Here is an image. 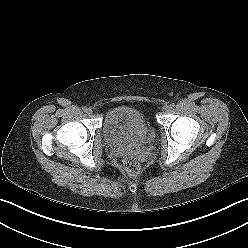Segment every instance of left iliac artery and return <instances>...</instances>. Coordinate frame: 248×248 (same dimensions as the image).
<instances>
[{"instance_id":"44dca946","label":"left iliac artery","mask_w":248,"mask_h":248,"mask_svg":"<svg viewBox=\"0 0 248 248\" xmlns=\"http://www.w3.org/2000/svg\"><path fill=\"white\" fill-rule=\"evenodd\" d=\"M170 107H171V108H174V107H175V104H174V103H171V104H170Z\"/></svg>"}]
</instances>
